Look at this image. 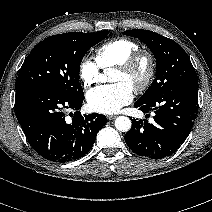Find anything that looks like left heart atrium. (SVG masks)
Listing matches in <instances>:
<instances>
[{"instance_id":"39dd6f15","label":"left heart atrium","mask_w":212,"mask_h":212,"mask_svg":"<svg viewBox=\"0 0 212 212\" xmlns=\"http://www.w3.org/2000/svg\"><path fill=\"white\" fill-rule=\"evenodd\" d=\"M133 88L125 82L97 86L87 92L89 108L103 114H113L133 99Z\"/></svg>"}]
</instances>
